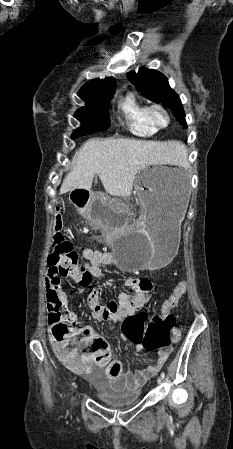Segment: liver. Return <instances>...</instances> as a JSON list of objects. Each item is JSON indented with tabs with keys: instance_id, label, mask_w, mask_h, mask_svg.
<instances>
[{
	"instance_id": "liver-1",
	"label": "liver",
	"mask_w": 233,
	"mask_h": 449,
	"mask_svg": "<svg viewBox=\"0 0 233 449\" xmlns=\"http://www.w3.org/2000/svg\"><path fill=\"white\" fill-rule=\"evenodd\" d=\"M168 142L123 138H93L86 141L73 157L71 172L60 193L75 189L90 190L95 174L112 196L129 197L136 174L144 167L171 162L182 150L174 135Z\"/></svg>"
}]
</instances>
